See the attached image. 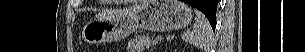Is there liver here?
Segmentation results:
<instances>
[{"mask_svg": "<svg viewBox=\"0 0 305 52\" xmlns=\"http://www.w3.org/2000/svg\"><path fill=\"white\" fill-rule=\"evenodd\" d=\"M148 2H149V0H146V1H143L141 3V5H134L132 7H129L127 9H123V10L110 11L106 14H102L101 16L106 17V19L111 18V17H120L122 15L129 13L130 11H133V10L139 9L140 7L145 6Z\"/></svg>", "mask_w": 305, "mask_h": 52, "instance_id": "1", "label": "liver"}]
</instances>
